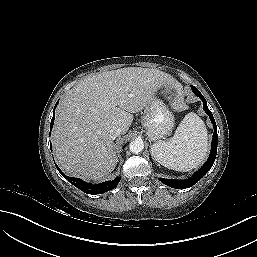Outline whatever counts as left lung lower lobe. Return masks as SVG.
Listing matches in <instances>:
<instances>
[{"label": "left lung lower lobe", "mask_w": 257, "mask_h": 257, "mask_svg": "<svg viewBox=\"0 0 257 257\" xmlns=\"http://www.w3.org/2000/svg\"><path fill=\"white\" fill-rule=\"evenodd\" d=\"M193 92L202 100L203 102V109L204 111L208 114L213 127H214V133H213V138H212V148H211V152L209 155L208 160L205 162V164L197 171L194 173V175L187 179V180H175V179H164V178H160V181L163 182L164 184L176 188V189H185V188H189L192 187L194 184H196L212 167L215 158H216V154H217V127H216V122L214 120V117L211 113V111L208 109L207 107V102L205 100V98L203 97V95L200 93V91L191 86Z\"/></svg>", "instance_id": "left-lung-lower-lobe-1"}]
</instances>
